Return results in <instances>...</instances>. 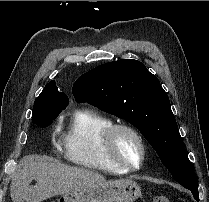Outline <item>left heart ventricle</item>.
I'll return each instance as SVG.
<instances>
[{
	"mask_svg": "<svg viewBox=\"0 0 209 202\" xmlns=\"http://www.w3.org/2000/svg\"><path fill=\"white\" fill-rule=\"evenodd\" d=\"M115 150L123 160L137 165L141 160V149L138 141L128 132H119L115 137Z\"/></svg>",
	"mask_w": 209,
	"mask_h": 202,
	"instance_id": "1",
	"label": "left heart ventricle"
}]
</instances>
